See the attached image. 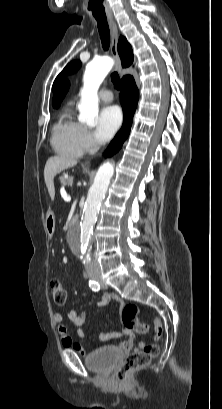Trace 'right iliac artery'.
<instances>
[{
  "mask_svg": "<svg viewBox=\"0 0 222 409\" xmlns=\"http://www.w3.org/2000/svg\"><path fill=\"white\" fill-rule=\"evenodd\" d=\"M89 287L93 290V291H99L100 290V285L98 282L94 281V280H90L89 281Z\"/></svg>",
  "mask_w": 222,
  "mask_h": 409,
  "instance_id": "1",
  "label": "right iliac artery"
}]
</instances>
